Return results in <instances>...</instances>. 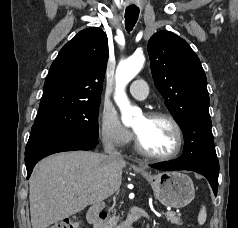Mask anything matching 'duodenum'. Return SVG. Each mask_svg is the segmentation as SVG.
I'll return each mask as SVG.
<instances>
[{"mask_svg":"<svg viewBox=\"0 0 238 228\" xmlns=\"http://www.w3.org/2000/svg\"><path fill=\"white\" fill-rule=\"evenodd\" d=\"M86 217L89 223H91L94 228H106L104 222V219L106 218V213L103 212V204L101 202L93 203L89 207ZM139 218V213H132L118 228H133V225L139 220Z\"/></svg>","mask_w":238,"mask_h":228,"instance_id":"1","label":"duodenum"}]
</instances>
